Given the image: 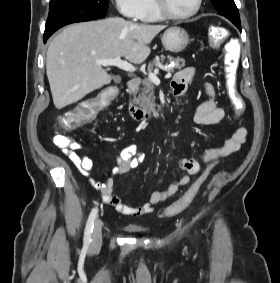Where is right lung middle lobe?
Wrapping results in <instances>:
<instances>
[{
	"label": "right lung middle lobe",
	"mask_w": 280,
	"mask_h": 283,
	"mask_svg": "<svg viewBox=\"0 0 280 283\" xmlns=\"http://www.w3.org/2000/svg\"><path fill=\"white\" fill-rule=\"evenodd\" d=\"M108 5V0H50L46 24L63 18L100 19Z\"/></svg>",
	"instance_id": "dd1d6c3e"
}]
</instances>
